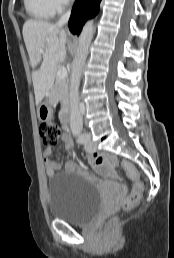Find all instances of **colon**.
Returning a JSON list of instances; mask_svg holds the SVG:
<instances>
[{
    "instance_id": "obj_1",
    "label": "colon",
    "mask_w": 174,
    "mask_h": 258,
    "mask_svg": "<svg viewBox=\"0 0 174 258\" xmlns=\"http://www.w3.org/2000/svg\"><path fill=\"white\" fill-rule=\"evenodd\" d=\"M61 133V128L56 123L44 122L40 126V135L43 143L47 146H55ZM122 165L129 178L133 181V191L123 203V208L129 210L139 203L143 194V184L139 179L136 168L130 162L125 161ZM111 225L112 223L109 224V227H111Z\"/></svg>"
}]
</instances>
